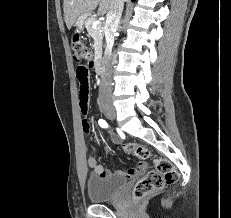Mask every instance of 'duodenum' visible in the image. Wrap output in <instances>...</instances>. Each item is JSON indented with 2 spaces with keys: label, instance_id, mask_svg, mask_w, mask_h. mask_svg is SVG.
<instances>
[{
  "label": "duodenum",
  "instance_id": "obj_1",
  "mask_svg": "<svg viewBox=\"0 0 231 218\" xmlns=\"http://www.w3.org/2000/svg\"><path fill=\"white\" fill-rule=\"evenodd\" d=\"M93 66H94L95 71L98 74H100L102 71V63H101V58L99 54L95 56L94 61H93Z\"/></svg>",
  "mask_w": 231,
  "mask_h": 218
}]
</instances>
